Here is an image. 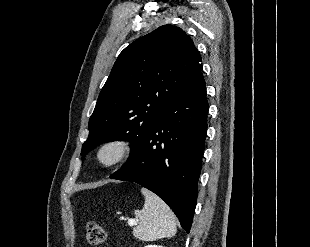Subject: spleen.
<instances>
[{
	"instance_id": "3e777b00",
	"label": "spleen",
	"mask_w": 310,
	"mask_h": 247,
	"mask_svg": "<svg viewBox=\"0 0 310 247\" xmlns=\"http://www.w3.org/2000/svg\"><path fill=\"white\" fill-rule=\"evenodd\" d=\"M145 197L144 207L135 210L139 224L133 229L135 237L142 241H155L172 237L176 233L175 215L169 206L153 192L142 188Z\"/></svg>"
}]
</instances>
